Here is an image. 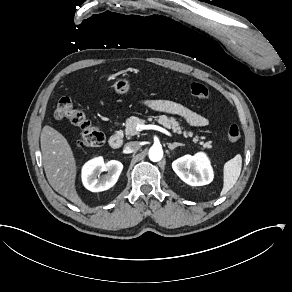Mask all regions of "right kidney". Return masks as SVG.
<instances>
[{
    "label": "right kidney",
    "instance_id": "right-kidney-1",
    "mask_svg": "<svg viewBox=\"0 0 292 292\" xmlns=\"http://www.w3.org/2000/svg\"><path fill=\"white\" fill-rule=\"evenodd\" d=\"M123 169V164L117 160L104 163L103 157H96L86 162L82 167V182L86 189L91 192L108 190L117 182ZM108 173L100 178L101 172Z\"/></svg>",
    "mask_w": 292,
    "mask_h": 292
}]
</instances>
